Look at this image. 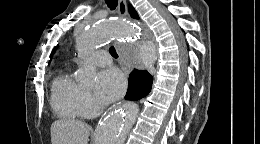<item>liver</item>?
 <instances>
[{
  "mask_svg": "<svg viewBox=\"0 0 260 144\" xmlns=\"http://www.w3.org/2000/svg\"><path fill=\"white\" fill-rule=\"evenodd\" d=\"M91 127L75 119H58L51 125L52 144H88Z\"/></svg>",
  "mask_w": 260,
  "mask_h": 144,
  "instance_id": "liver-1",
  "label": "liver"
}]
</instances>
